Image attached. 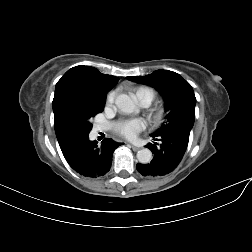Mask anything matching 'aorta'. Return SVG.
Returning a JSON list of instances; mask_svg holds the SVG:
<instances>
[{
    "label": "aorta",
    "mask_w": 252,
    "mask_h": 252,
    "mask_svg": "<svg viewBox=\"0 0 252 252\" xmlns=\"http://www.w3.org/2000/svg\"><path fill=\"white\" fill-rule=\"evenodd\" d=\"M115 104L125 114H131L136 111L135 102L126 94L118 95ZM137 159L142 164L150 163L152 160V152L148 148H143L137 152Z\"/></svg>",
    "instance_id": "1"
}]
</instances>
